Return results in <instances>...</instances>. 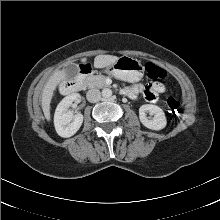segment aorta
Wrapping results in <instances>:
<instances>
[{
  "mask_svg": "<svg viewBox=\"0 0 220 220\" xmlns=\"http://www.w3.org/2000/svg\"><path fill=\"white\" fill-rule=\"evenodd\" d=\"M102 96L104 98H110L112 96V90L109 88H105L102 90Z\"/></svg>",
  "mask_w": 220,
  "mask_h": 220,
  "instance_id": "aorta-1",
  "label": "aorta"
}]
</instances>
